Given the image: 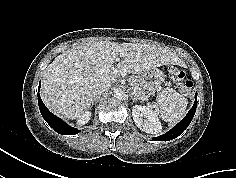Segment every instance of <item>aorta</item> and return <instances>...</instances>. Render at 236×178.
Returning <instances> with one entry per match:
<instances>
[{"mask_svg": "<svg viewBox=\"0 0 236 178\" xmlns=\"http://www.w3.org/2000/svg\"><path fill=\"white\" fill-rule=\"evenodd\" d=\"M124 91L121 88L114 89L113 95L117 99H123L124 98Z\"/></svg>", "mask_w": 236, "mask_h": 178, "instance_id": "aorta-1", "label": "aorta"}]
</instances>
